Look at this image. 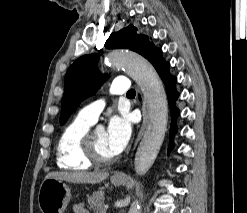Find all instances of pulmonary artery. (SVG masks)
<instances>
[{
  "label": "pulmonary artery",
  "mask_w": 247,
  "mask_h": 213,
  "mask_svg": "<svg viewBox=\"0 0 247 213\" xmlns=\"http://www.w3.org/2000/svg\"><path fill=\"white\" fill-rule=\"evenodd\" d=\"M129 90H130V84L128 79L125 77H116L110 87L109 92L111 95H118V94L126 93ZM104 107H105V101L102 99L98 100L82 108L78 112V117L93 124L97 121V118L104 109Z\"/></svg>",
  "instance_id": "e3ab8cb5"
}]
</instances>
